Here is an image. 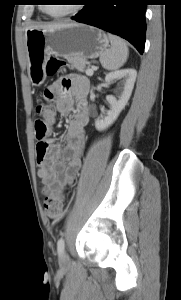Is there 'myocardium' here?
<instances>
[{"label": "myocardium", "mask_w": 181, "mask_h": 300, "mask_svg": "<svg viewBox=\"0 0 181 300\" xmlns=\"http://www.w3.org/2000/svg\"><path fill=\"white\" fill-rule=\"evenodd\" d=\"M80 8V4H76V6H73V8H71L69 11H66L64 13L61 14H52L48 9L47 6H43L42 10L45 14H47L48 16L55 18V19H59V18H63V17H67V16H71L73 14H75Z\"/></svg>", "instance_id": "1"}]
</instances>
